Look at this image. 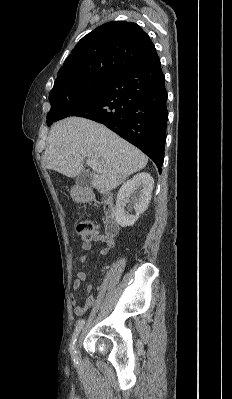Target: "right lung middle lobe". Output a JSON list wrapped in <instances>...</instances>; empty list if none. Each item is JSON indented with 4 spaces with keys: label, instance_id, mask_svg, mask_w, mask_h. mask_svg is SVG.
I'll list each match as a JSON object with an SVG mask.
<instances>
[{
    "label": "right lung middle lobe",
    "instance_id": "obj_1",
    "mask_svg": "<svg viewBox=\"0 0 232 399\" xmlns=\"http://www.w3.org/2000/svg\"><path fill=\"white\" fill-rule=\"evenodd\" d=\"M108 82L109 78L83 79L72 84L62 93L49 95L51 110L47 114V125L50 126L69 105L94 97Z\"/></svg>",
    "mask_w": 232,
    "mask_h": 399
}]
</instances>
